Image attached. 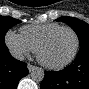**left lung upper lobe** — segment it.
Instances as JSON below:
<instances>
[{
  "instance_id": "5c2ea615",
  "label": "left lung upper lobe",
  "mask_w": 89,
  "mask_h": 89,
  "mask_svg": "<svg viewBox=\"0 0 89 89\" xmlns=\"http://www.w3.org/2000/svg\"><path fill=\"white\" fill-rule=\"evenodd\" d=\"M57 21L67 23L77 34L80 42V49L89 47V25L73 17H60Z\"/></svg>"
}]
</instances>
